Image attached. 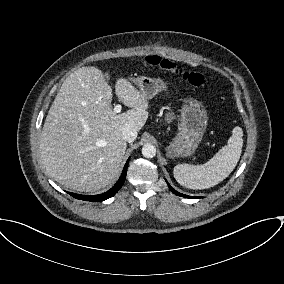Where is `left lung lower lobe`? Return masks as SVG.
I'll return each instance as SVG.
<instances>
[{"mask_svg": "<svg viewBox=\"0 0 284 284\" xmlns=\"http://www.w3.org/2000/svg\"><path fill=\"white\" fill-rule=\"evenodd\" d=\"M167 184H168L170 190H171L174 194H176V195H178V196H182V197H185V198H198V197L187 196V195H185V194L179 193V192H177L176 190H174V189L169 185L168 182H167Z\"/></svg>", "mask_w": 284, "mask_h": 284, "instance_id": "obj_1", "label": "left lung lower lobe"}]
</instances>
